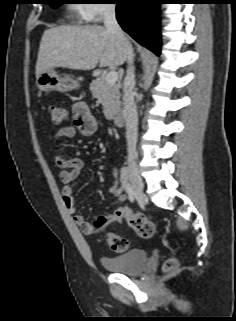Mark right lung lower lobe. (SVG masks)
Wrapping results in <instances>:
<instances>
[{"instance_id": "obj_1", "label": "right lung lower lobe", "mask_w": 236, "mask_h": 321, "mask_svg": "<svg viewBox=\"0 0 236 321\" xmlns=\"http://www.w3.org/2000/svg\"><path fill=\"white\" fill-rule=\"evenodd\" d=\"M120 26L138 43L160 54L159 4L161 0H113Z\"/></svg>"}]
</instances>
